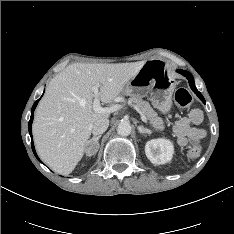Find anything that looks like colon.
Masks as SVG:
<instances>
[{
    "label": "colon",
    "instance_id": "1",
    "mask_svg": "<svg viewBox=\"0 0 234 234\" xmlns=\"http://www.w3.org/2000/svg\"><path fill=\"white\" fill-rule=\"evenodd\" d=\"M175 102L180 108H188L192 102L193 97L185 88H179L175 92ZM202 152V146L199 143L193 144L188 150V155L191 158L198 157Z\"/></svg>",
    "mask_w": 234,
    "mask_h": 234
}]
</instances>
